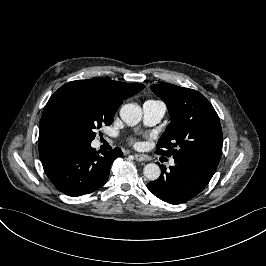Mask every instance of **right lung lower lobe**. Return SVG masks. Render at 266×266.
Instances as JSON below:
<instances>
[{"mask_svg":"<svg viewBox=\"0 0 266 266\" xmlns=\"http://www.w3.org/2000/svg\"><path fill=\"white\" fill-rule=\"evenodd\" d=\"M90 144H62L42 161L46 175L62 193L81 196L94 192L108 180L114 159L123 155L119 148L98 155Z\"/></svg>","mask_w":266,"mask_h":266,"instance_id":"1","label":"right lung lower lobe"}]
</instances>
